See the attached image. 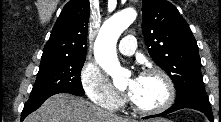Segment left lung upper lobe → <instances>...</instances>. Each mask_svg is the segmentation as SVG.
<instances>
[{"label":"left lung upper lobe","mask_w":221,"mask_h":122,"mask_svg":"<svg viewBox=\"0 0 221 122\" xmlns=\"http://www.w3.org/2000/svg\"><path fill=\"white\" fill-rule=\"evenodd\" d=\"M142 13L148 52L173 80L176 101L206 94L196 40L177 8L166 0H143Z\"/></svg>","instance_id":"left-lung-upper-lobe-1"}]
</instances>
